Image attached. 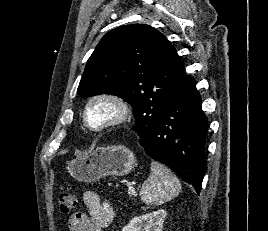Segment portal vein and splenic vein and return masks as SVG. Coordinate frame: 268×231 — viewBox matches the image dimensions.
Instances as JSON below:
<instances>
[{"instance_id":"1","label":"portal vein and splenic vein","mask_w":268,"mask_h":231,"mask_svg":"<svg viewBox=\"0 0 268 231\" xmlns=\"http://www.w3.org/2000/svg\"><path fill=\"white\" fill-rule=\"evenodd\" d=\"M127 186H128V190H129V192H132V191H133L132 186H131L130 184H127Z\"/></svg>"}]
</instances>
